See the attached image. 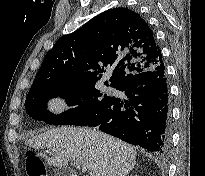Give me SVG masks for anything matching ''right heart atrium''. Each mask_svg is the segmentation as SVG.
<instances>
[{
  "label": "right heart atrium",
  "mask_w": 205,
  "mask_h": 176,
  "mask_svg": "<svg viewBox=\"0 0 205 176\" xmlns=\"http://www.w3.org/2000/svg\"><path fill=\"white\" fill-rule=\"evenodd\" d=\"M48 107L50 110L56 113H61L68 107L67 101L62 96H54L49 99Z\"/></svg>",
  "instance_id": "d8ad5b80"
}]
</instances>
